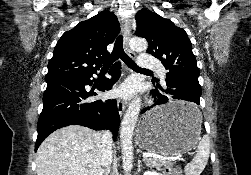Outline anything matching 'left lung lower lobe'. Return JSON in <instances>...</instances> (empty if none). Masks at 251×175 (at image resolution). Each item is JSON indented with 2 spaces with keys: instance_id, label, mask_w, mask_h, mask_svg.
<instances>
[{
  "instance_id": "obj_1",
  "label": "left lung lower lobe",
  "mask_w": 251,
  "mask_h": 175,
  "mask_svg": "<svg viewBox=\"0 0 251 175\" xmlns=\"http://www.w3.org/2000/svg\"><path fill=\"white\" fill-rule=\"evenodd\" d=\"M165 81L167 89L158 86L164 93H159L157 90L152 91L153 97H157L155 98L156 102L154 105L167 103L171 98L185 100L190 103L153 113L147 117V122L161 123L198 119L201 115V109L198 105H200V96L202 93L198 79L183 74H172L168 75ZM147 109H150V107Z\"/></svg>"
}]
</instances>
